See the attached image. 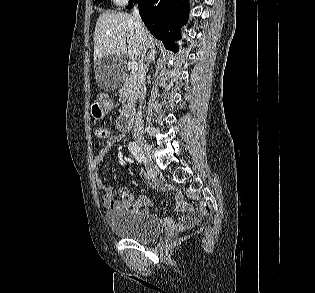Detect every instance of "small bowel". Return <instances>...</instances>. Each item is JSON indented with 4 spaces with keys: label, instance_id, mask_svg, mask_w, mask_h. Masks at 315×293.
<instances>
[{
    "label": "small bowel",
    "instance_id": "obj_1",
    "mask_svg": "<svg viewBox=\"0 0 315 293\" xmlns=\"http://www.w3.org/2000/svg\"><path fill=\"white\" fill-rule=\"evenodd\" d=\"M124 136L122 134L109 136L103 143L101 149L97 152L94 157V167H95V184L96 187L102 192L101 202L108 209H120V208H131L138 212H145L147 206L151 204L150 199L147 196H140L134 201V196L127 188H122L119 190L118 195L122 197V200H114V188L113 186H106L98 173V167L104 161L105 157L108 155L110 149L117 143L123 140ZM152 186L157 191L173 190L174 191V210L177 213L182 214L179 221L167 217L164 219L165 225L172 230H182L187 227L195 225L199 219V213L187 202L184 201L182 193L159 180H152Z\"/></svg>",
    "mask_w": 315,
    "mask_h": 293
}]
</instances>
